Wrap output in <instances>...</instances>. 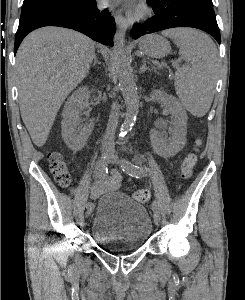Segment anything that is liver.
<instances>
[{
    "label": "liver",
    "instance_id": "liver-1",
    "mask_svg": "<svg viewBox=\"0 0 245 300\" xmlns=\"http://www.w3.org/2000/svg\"><path fill=\"white\" fill-rule=\"evenodd\" d=\"M95 42L76 31L43 27L27 35L16 55L22 120L33 143L42 147L69 93L86 77Z\"/></svg>",
    "mask_w": 245,
    "mask_h": 300
}]
</instances>
